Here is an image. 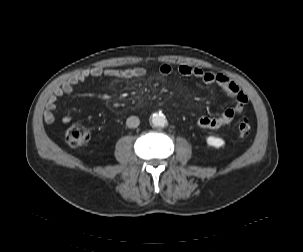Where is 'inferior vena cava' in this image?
<instances>
[{
	"mask_svg": "<svg viewBox=\"0 0 303 252\" xmlns=\"http://www.w3.org/2000/svg\"><path fill=\"white\" fill-rule=\"evenodd\" d=\"M140 124V120L138 117L136 116H130L127 118L126 120V125L129 127V128H136L138 127Z\"/></svg>",
	"mask_w": 303,
	"mask_h": 252,
	"instance_id": "inferior-vena-cava-1",
	"label": "inferior vena cava"
}]
</instances>
